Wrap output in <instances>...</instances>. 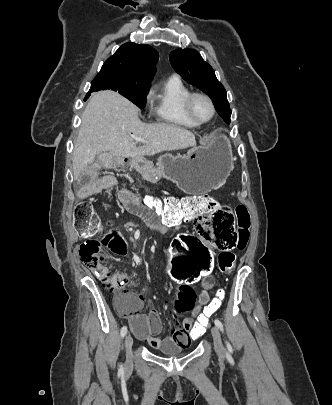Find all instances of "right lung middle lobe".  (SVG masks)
Instances as JSON below:
<instances>
[{
  "mask_svg": "<svg viewBox=\"0 0 332 405\" xmlns=\"http://www.w3.org/2000/svg\"><path fill=\"white\" fill-rule=\"evenodd\" d=\"M150 83V81H139L117 73H99L92 81L89 92L106 89L118 91L140 109H143Z\"/></svg>",
  "mask_w": 332,
  "mask_h": 405,
  "instance_id": "1",
  "label": "right lung middle lobe"
}]
</instances>
